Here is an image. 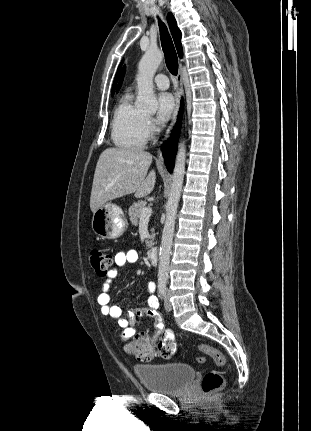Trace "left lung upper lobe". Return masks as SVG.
<instances>
[{
  "label": "left lung upper lobe",
  "mask_w": 311,
  "mask_h": 431,
  "mask_svg": "<svg viewBox=\"0 0 311 431\" xmlns=\"http://www.w3.org/2000/svg\"><path fill=\"white\" fill-rule=\"evenodd\" d=\"M124 73H125V67L123 68V71H122V74H121V79H120V84H119V86L121 85V83H122V80H123V77H124Z\"/></svg>",
  "instance_id": "obj_1"
}]
</instances>
